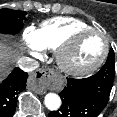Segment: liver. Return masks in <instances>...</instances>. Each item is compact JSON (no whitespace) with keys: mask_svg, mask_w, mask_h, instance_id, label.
Listing matches in <instances>:
<instances>
[{"mask_svg":"<svg viewBox=\"0 0 117 117\" xmlns=\"http://www.w3.org/2000/svg\"><path fill=\"white\" fill-rule=\"evenodd\" d=\"M20 54L13 46L0 41V79L7 73L10 64L16 62Z\"/></svg>","mask_w":117,"mask_h":117,"instance_id":"1","label":"liver"}]
</instances>
